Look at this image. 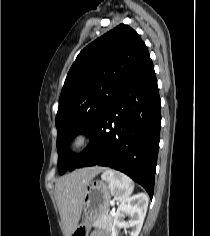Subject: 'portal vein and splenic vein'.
Segmentation results:
<instances>
[{
	"label": "portal vein and splenic vein",
	"instance_id": "portal-vein-and-splenic-vein-1",
	"mask_svg": "<svg viewBox=\"0 0 210 236\" xmlns=\"http://www.w3.org/2000/svg\"><path fill=\"white\" fill-rule=\"evenodd\" d=\"M115 209L113 208L112 211L110 212L111 215H114Z\"/></svg>",
	"mask_w": 210,
	"mask_h": 236
}]
</instances>
